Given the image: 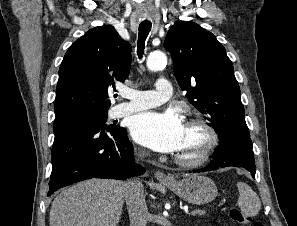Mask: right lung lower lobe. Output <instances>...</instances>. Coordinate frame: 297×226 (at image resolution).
<instances>
[{
	"instance_id": "1",
	"label": "right lung lower lobe",
	"mask_w": 297,
	"mask_h": 226,
	"mask_svg": "<svg viewBox=\"0 0 297 226\" xmlns=\"http://www.w3.org/2000/svg\"><path fill=\"white\" fill-rule=\"evenodd\" d=\"M50 196L57 189L90 178L126 179L141 175L124 128L106 129L79 112L56 118L53 126Z\"/></svg>"
}]
</instances>
